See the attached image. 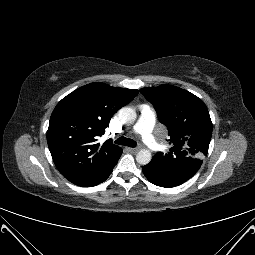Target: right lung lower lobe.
Returning <instances> with one entry per match:
<instances>
[{
  "mask_svg": "<svg viewBox=\"0 0 255 255\" xmlns=\"http://www.w3.org/2000/svg\"><path fill=\"white\" fill-rule=\"evenodd\" d=\"M117 162L107 172H105L102 176H100L98 179H96L95 181H93L87 185H83V186H88V187L96 186V185L102 183L103 181H105L109 177L110 173L112 172V170H113L114 166L117 164Z\"/></svg>",
  "mask_w": 255,
  "mask_h": 255,
  "instance_id": "98d812e1",
  "label": "right lung lower lobe"
}]
</instances>
